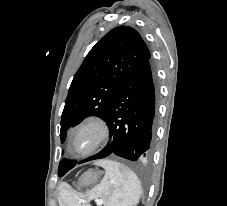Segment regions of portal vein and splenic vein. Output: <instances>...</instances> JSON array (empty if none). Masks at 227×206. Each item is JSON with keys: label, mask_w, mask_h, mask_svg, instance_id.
Here are the masks:
<instances>
[{"label": "portal vein and splenic vein", "mask_w": 227, "mask_h": 206, "mask_svg": "<svg viewBox=\"0 0 227 206\" xmlns=\"http://www.w3.org/2000/svg\"><path fill=\"white\" fill-rule=\"evenodd\" d=\"M97 203H102V201L101 200H98Z\"/></svg>", "instance_id": "obj_1"}]
</instances>
